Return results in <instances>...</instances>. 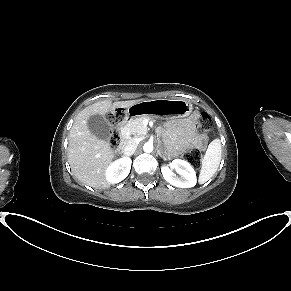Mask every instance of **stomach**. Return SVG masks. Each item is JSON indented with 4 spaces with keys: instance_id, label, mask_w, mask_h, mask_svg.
Returning <instances> with one entry per match:
<instances>
[{
    "instance_id": "1",
    "label": "stomach",
    "mask_w": 291,
    "mask_h": 291,
    "mask_svg": "<svg viewBox=\"0 0 291 291\" xmlns=\"http://www.w3.org/2000/svg\"><path fill=\"white\" fill-rule=\"evenodd\" d=\"M192 109V105L185 100L156 99L132 104L126 113L130 118H185Z\"/></svg>"
}]
</instances>
